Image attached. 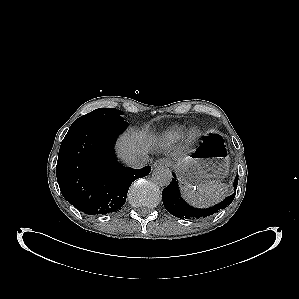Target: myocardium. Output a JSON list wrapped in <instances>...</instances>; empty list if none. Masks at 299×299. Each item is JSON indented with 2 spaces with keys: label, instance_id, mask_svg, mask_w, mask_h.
I'll return each instance as SVG.
<instances>
[{
  "label": "myocardium",
  "instance_id": "myocardium-1",
  "mask_svg": "<svg viewBox=\"0 0 299 299\" xmlns=\"http://www.w3.org/2000/svg\"><path fill=\"white\" fill-rule=\"evenodd\" d=\"M199 136H200V131L197 128L193 129L192 132H191V138L196 139Z\"/></svg>",
  "mask_w": 299,
  "mask_h": 299
}]
</instances>
